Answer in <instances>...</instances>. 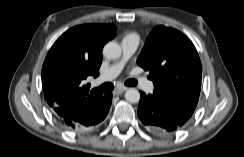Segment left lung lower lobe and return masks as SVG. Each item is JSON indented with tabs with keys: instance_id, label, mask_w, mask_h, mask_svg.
<instances>
[{
	"instance_id": "0a47b994",
	"label": "left lung lower lobe",
	"mask_w": 244,
	"mask_h": 157,
	"mask_svg": "<svg viewBox=\"0 0 244 157\" xmlns=\"http://www.w3.org/2000/svg\"><path fill=\"white\" fill-rule=\"evenodd\" d=\"M138 117L154 134L167 136L180 130L185 124L176 118L169 106L159 97L141 92Z\"/></svg>"
}]
</instances>
